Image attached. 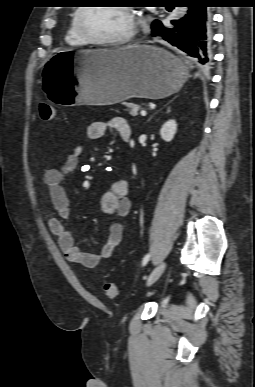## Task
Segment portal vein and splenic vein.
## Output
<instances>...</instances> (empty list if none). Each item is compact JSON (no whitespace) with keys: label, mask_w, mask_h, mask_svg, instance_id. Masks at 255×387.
<instances>
[{"label":"portal vein and splenic vein","mask_w":255,"mask_h":387,"mask_svg":"<svg viewBox=\"0 0 255 387\" xmlns=\"http://www.w3.org/2000/svg\"><path fill=\"white\" fill-rule=\"evenodd\" d=\"M146 115H147L146 111H145V110H142V111H141V116L144 117V116H146Z\"/></svg>","instance_id":"obj_1"}]
</instances>
